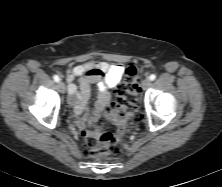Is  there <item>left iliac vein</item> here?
Returning a JSON list of instances; mask_svg holds the SVG:
<instances>
[{
	"instance_id": "1",
	"label": "left iliac vein",
	"mask_w": 222,
	"mask_h": 187,
	"mask_svg": "<svg viewBox=\"0 0 222 187\" xmlns=\"http://www.w3.org/2000/svg\"><path fill=\"white\" fill-rule=\"evenodd\" d=\"M151 85V80L149 78H145L143 81H142V88L144 90H146L147 88H149Z\"/></svg>"
}]
</instances>
